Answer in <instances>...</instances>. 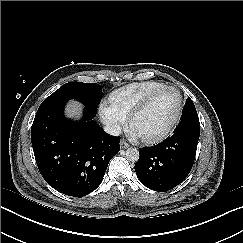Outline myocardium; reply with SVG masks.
<instances>
[{
	"mask_svg": "<svg viewBox=\"0 0 243 243\" xmlns=\"http://www.w3.org/2000/svg\"><path fill=\"white\" fill-rule=\"evenodd\" d=\"M167 91H175L178 94V106H177V110H176L173 120L170 122V124L167 126V128L158 135L146 136V135L139 133L137 131V129L135 128L136 118L151 101H153L157 96H159L162 93L167 92ZM182 111H183V95H182L181 91L174 86H166V87L152 93L148 97H146L131 111L129 118H128V128L132 133H134L137 137H139L143 142L156 143V142H159V141L163 140L164 138H166L171 133V131L177 126V124L180 121V118L182 116Z\"/></svg>",
	"mask_w": 243,
	"mask_h": 243,
	"instance_id": "obj_1",
	"label": "myocardium"
}]
</instances>
